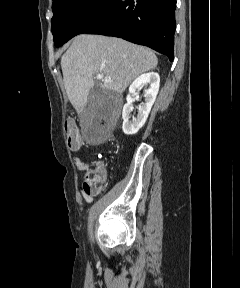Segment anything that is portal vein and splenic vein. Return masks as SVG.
I'll return each instance as SVG.
<instances>
[{"instance_id": "portal-vein-and-splenic-vein-1", "label": "portal vein and splenic vein", "mask_w": 240, "mask_h": 288, "mask_svg": "<svg viewBox=\"0 0 240 288\" xmlns=\"http://www.w3.org/2000/svg\"><path fill=\"white\" fill-rule=\"evenodd\" d=\"M96 78L98 80L111 81L110 79L104 78L103 74H101V73L97 74Z\"/></svg>"}]
</instances>
